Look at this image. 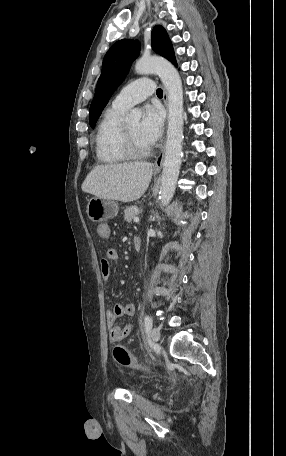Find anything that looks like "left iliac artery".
Listing matches in <instances>:
<instances>
[{
	"mask_svg": "<svg viewBox=\"0 0 286 456\" xmlns=\"http://www.w3.org/2000/svg\"><path fill=\"white\" fill-rule=\"evenodd\" d=\"M152 324H153L152 318L150 316L146 315L144 317V326H145L146 332L150 331V329L152 328Z\"/></svg>",
	"mask_w": 286,
	"mask_h": 456,
	"instance_id": "1",
	"label": "left iliac artery"
}]
</instances>
